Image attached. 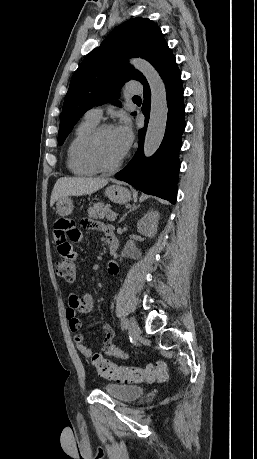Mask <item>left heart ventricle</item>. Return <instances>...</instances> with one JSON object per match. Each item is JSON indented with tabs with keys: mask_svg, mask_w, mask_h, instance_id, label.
Masks as SVG:
<instances>
[{
	"mask_svg": "<svg viewBox=\"0 0 257 459\" xmlns=\"http://www.w3.org/2000/svg\"><path fill=\"white\" fill-rule=\"evenodd\" d=\"M96 150L99 159L105 164H113L123 155L116 139L114 128L108 129L101 134Z\"/></svg>",
	"mask_w": 257,
	"mask_h": 459,
	"instance_id": "1",
	"label": "left heart ventricle"
}]
</instances>
